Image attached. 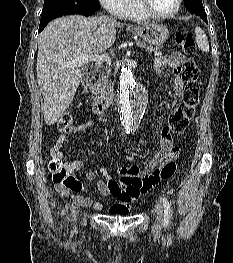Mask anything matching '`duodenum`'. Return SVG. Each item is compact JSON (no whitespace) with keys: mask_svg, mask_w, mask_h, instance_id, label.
<instances>
[{"mask_svg":"<svg viewBox=\"0 0 233 263\" xmlns=\"http://www.w3.org/2000/svg\"><path fill=\"white\" fill-rule=\"evenodd\" d=\"M94 76H95V72L93 70H89L84 73L82 79L84 91H87ZM110 84H112V81L105 80L104 82H100L99 85L93 87L90 90L89 97L92 100H95V102L92 105V110L97 115L103 114L106 111V109L109 107L110 103L113 102L111 96L107 95L112 93V90L108 89V85Z\"/></svg>","mask_w":233,"mask_h":263,"instance_id":"duodenum-1","label":"duodenum"}]
</instances>
